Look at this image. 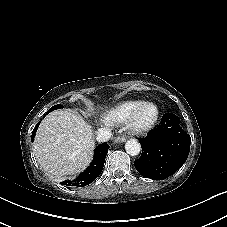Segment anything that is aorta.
Wrapping results in <instances>:
<instances>
[{
    "instance_id": "aorta-1",
    "label": "aorta",
    "mask_w": 227,
    "mask_h": 227,
    "mask_svg": "<svg viewBox=\"0 0 227 227\" xmlns=\"http://www.w3.org/2000/svg\"><path fill=\"white\" fill-rule=\"evenodd\" d=\"M125 150L130 156H137L141 151V146L135 139H130L125 144Z\"/></svg>"
}]
</instances>
